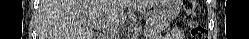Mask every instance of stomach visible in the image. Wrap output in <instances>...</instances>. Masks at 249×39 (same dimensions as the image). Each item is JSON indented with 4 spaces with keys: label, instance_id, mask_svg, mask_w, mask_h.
<instances>
[{
    "label": "stomach",
    "instance_id": "stomach-1",
    "mask_svg": "<svg viewBox=\"0 0 249 39\" xmlns=\"http://www.w3.org/2000/svg\"><path fill=\"white\" fill-rule=\"evenodd\" d=\"M180 0H144L139 11L164 21H170L180 12Z\"/></svg>",
    "mask_w": 249,
    "mask_h": 39
}]
</instances>
